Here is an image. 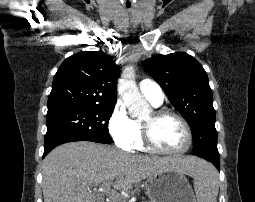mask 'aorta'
I'll return each mask as SVG.
<instances>
[{"instance_id":"762f6f07","label":"aorta","mask_w":255,"mask_h":202,"mask_svg":"<svg viewBox=\"0 0 255 202\" xmlns=\"http://www.w3.org/2000/svg\"><path fill=\"white\" fill-rule=\"evenodd\" d=\"M134 69L127 67L122 73L121 93L132 117L142 118L149 114V104L142 98L134 81Z\"/></svg>"}]
</instances>
